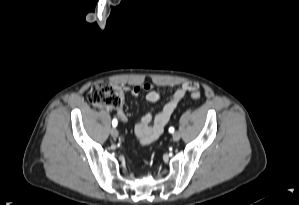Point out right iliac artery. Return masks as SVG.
I'll return each mask as SVG.
<instances>
[{
    "instance_id": "right-iliac-artery-1",
    "label": "right iliac artery",
    "mask_w": 299,
    "mask_h": 205,
    "mask_svg": "<svg viewBox=\"0 0 299 205\" xmlns=\"http://www.w3.org/2000/svg\"><path fill=\"white\" fill-rule=\"evenodd\" d=\"M117 119H113V121H112V125H113V127H116L117 126Z\"/></svg>"
}]
</instances>
